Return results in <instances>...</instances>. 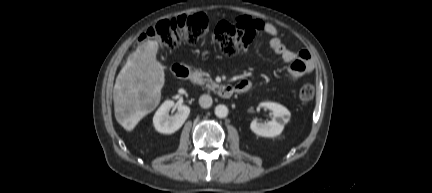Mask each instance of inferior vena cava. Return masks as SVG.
Here are the masks:
<instances>
[{"label": "inferior vena cava", "instance_id": "1", "mask_svg": "<svg viewBox=\"0 0 432 193\" xmlns=\"http://www.w3.org/2000/svg\"><path fill=\"white\" fill-rule=\"evenodd\" d=\"M212 98L210 95H202L199 98V104L202 108H209L212 105Z\"/></svg>", "mask_w": 432, "mask_h": 193}]
</instances>
